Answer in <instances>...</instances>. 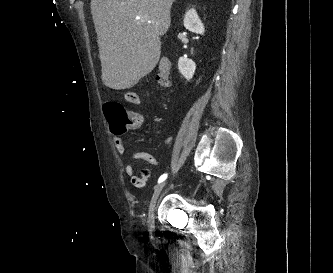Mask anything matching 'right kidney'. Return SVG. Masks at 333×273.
I'll list each match as a JSON object with an SVG mask.
<instances>
[{"instance_id":"1","label":"right kidney","mask_w":333,"mask_h":273,"mask_svg":"<svg viewBox=\"0 0 333 273\" xmlns=\"http://www.w3.org/2000/svg\"><path fill=\"white\" fill-rule=\"evenodd\" d=\"M183 23L187 30L197 34H204V25L199 19L195 9L192 8L186 12ZM178 69L183 77L189 81L195 73L196 64L191 59L181 57L178 61Z\"/></svg>"}]
</instances>
